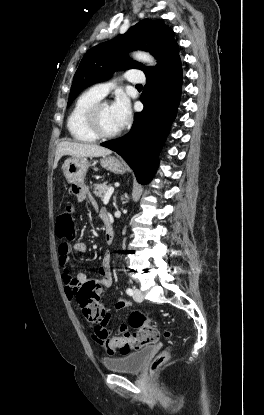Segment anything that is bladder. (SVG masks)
Wrapping results in <instances>:
<instances>
[{
    "mask_svg": "<svg viewBox=\"0 0 264 415\" xmlns=\"http://www.w3.org/2000/svg\"><path fill=\"white\" fill-rule=\"evenodd\" d=\"M155 350L156 345L146 346L119 358H105L103 365L112 372L138 373Z\"/></svg>",
    "mask_w": 264,
    "mask_h": 415,
    "instance_id": "bladder-1",
    "label": "bladder"
}]
</instances>
